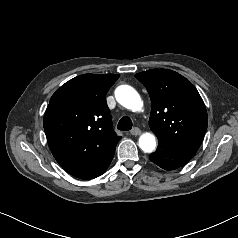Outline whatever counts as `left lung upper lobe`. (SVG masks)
Here are the masks:
<instances>
[{"mask_svg":"<svg viewBox=\"0 0 238 238\" xmlns=\"http://www.w3.org/2000/svg\"><path fill=\"white\" fill-rule=\"evenodd\" d=\"M135 77L151 98L149 126L160 145L195 154L205 135L208 116L197 89L182 75L153 69Z\"/></svg>","mask_w":238,"mask_h":238,"instance_id":"1","label":"left lung upper lobe"}]
</instances>
